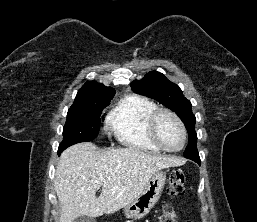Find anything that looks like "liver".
Here are the masks:
<instances>
[{"label":"liver","instance_id":"liver-1","mask_svg":"<svg viewBox=\"0 0 257 222\" xmlns=\"http://www.w3.org/2000/svg\"><path fill=\"white\" fill-rule=\"evenodd\" d=\"M184 160L150 155L133 148L99 151L90 142L75 144L60 156L55 191L61 207L59 222L83 215L112 214L130 204L161 169ZM102 187L100 196L96 191Z\"/></svg>","mask_w":257,"mask_h":222}]
</instances>
